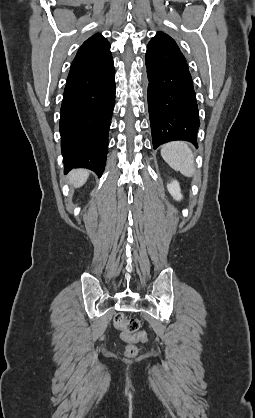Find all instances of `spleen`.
Listing matches in <instances>:
<instances>
[{
  "mask_svg": "<svg viewBox=\"0 0 255 418\" xmlns=\"http://www.w3.org/2000/svg\"><path fill=\"white\" fill-rule=\"evenodd\" d=\"M161 156L175 171H180L186 177L194 175V155L188 143L184 141L166 143L161 148Z\"/></svg>",
  "mask_w": 255,
  "mask_h": 418,
  "instance_id": "3e777b00",
  "label": "spleen"
}]
</instances>
